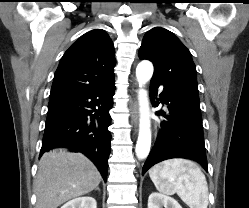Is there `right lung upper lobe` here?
I'll list each match as a JSON object with an SVG mask.
<instances>
[{
  "label": "right lung upper lobe",
  "mask_w": 249,
  "mask_h": 208,
  "mask_svg": "<svg viewBox=\"0 0 249 208\" xmlns=\"http://www.w3.org/2000/svg\"><path fill=\"white\" fill-rule=\"evenodd\" d=\"M114 46L102 29L85 33L65 52L55 72L50 100L87 92L114 79Z\"/></svg>",
  "instance_id": "obj_1"
}]
</instances>
